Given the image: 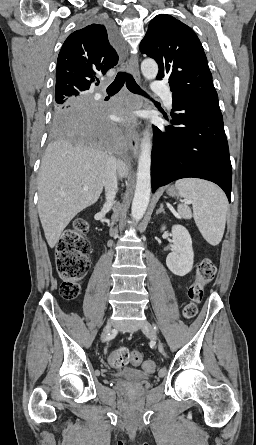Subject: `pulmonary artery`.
I'll list each match as a JSON object with an SVG mask.
<instances>
[{"label":"pulmonary artery","mask_w":256,"mask_h":445,"mask_svg":"<svg viewBox=\"0 0 256 445\" xmlns=\"http://www.w3.org/2000/svg\"><path fill=\"white\" fill-rule=\"evenodd\" d=\"M152 90L161 92L164 97V104L167 108H172V95L171 92L163 85L159 80H154L152 84Z\"/></svg>","instance_id":"1"}]
</instances>
